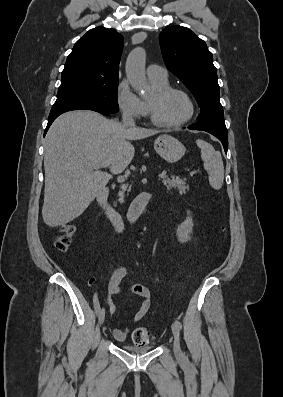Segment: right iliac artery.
I'll list each match as a JSON object with an SVG mask.
<instances>
[{
	"mask_svg": "<svg viewBox=\"0 0 283 397\" xmlns=\"http://www.w3.org/2000/svg\"><path fill=\"white\" fill-rule=\"evenodd\" d=\"M95 294H98V291H95ZM92 302L95 305L96 314L99 315L100 312H101V308H100V305H99V299L97 298V295H94V298L92 299Z\"/></svg>",
	"mask_w": 283,
	"mask_h": 397,
	"instance_id": "82829eb1",
	"label": "right iliac artery"
}]
</instances>
